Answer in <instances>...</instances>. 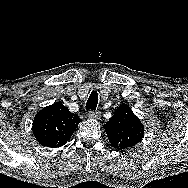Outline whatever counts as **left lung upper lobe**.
Wrapping results in <instances>:
<instances>
[{"label":"left lung upper lobe","instance_id":"5c2ea615","mask_svg":"<svg viewBox=\"0 0 188 188\" xmlns=\"http://www.w3.org/2000/svg\"><path fill=\"white\" fill-rule=\"evenodd\" d=\"M111 145L117 150H128L141 142L144 126L127 104L120 105L104 125Z\"/></svg>","mask_w":188,"mask_h":188}]
</instances>
